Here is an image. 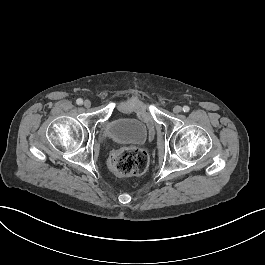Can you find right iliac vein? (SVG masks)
I'll use <instances>...</instances> for the list:
<instances>
[{
    "instance_id": "1",
    "label": "right iliac vein",
    "mask_w": 265,
    "mask_h": 265,
    "mask_svg": "<svg viewBox=\"0 0 265 265\" xmlns=\"http://www.w3.org/2000/svg\"><path fill=\"white\" fill-rule=\"evenodd\" d=\"M83 104H84V106L86 108H89L91 106V101L90 100H85Z\"/></svg>"
}]
</instances>
